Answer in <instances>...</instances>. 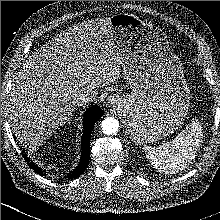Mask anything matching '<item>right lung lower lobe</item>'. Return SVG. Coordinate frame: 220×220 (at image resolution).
Instances as JSON below:
<instances>
[{
	"label": "right lung lower lobe",
	"instance_id": "right-lung-lower-lobe-1",
	"mask_svg": "<svg viewBox=\"0 0 220 220\" xmlns=\"http://www.w3.org/2000/svg\"><path fill=\"white\" fill-rule=\"evenodd\" d=\"M102 116H103V112L97 106L90 107L86 111V114H84V118H83V126H84L83 129L84 130H83V136L81 139V150H82L81 159H80L78 166L73 171H71L65 178H68V179L76 178L80 176L87 168L88 163H89V157H90L89 148H90L91 132L94 127V124ZM22 153L30 168H33L34 171L38 173L39 175H42V176L45 175L46 172L42 170L37 164L33 163V161L30 159V157L27 156L24 150L22 151Z\"/></svg>",
	"mask_w": 220,
	"mask_h": 220
}]
</instances>
